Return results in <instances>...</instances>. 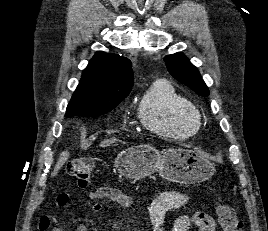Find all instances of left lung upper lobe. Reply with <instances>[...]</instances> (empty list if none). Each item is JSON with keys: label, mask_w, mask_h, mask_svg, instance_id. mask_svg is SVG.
I'll return each mask as SVG.
<instances>
[{"label": "left lung upper lobe", "mask_w": 268, "mask_h": 231, "mask_svg": "<svg viewBox=\"0 0 268 231\" xmlns=\"http://www.w3.org/2000/svg\"><path fill=\"white\" fill-rule=\"evenodd\" d=\"M169 73L179 82L193 89L202 96H208L209 91L200 76L198 69L192 65L183 53L167 55L164 58Z\"/></svg>", "instance_id": "left-lung-upper-lobe-1"}]
</instances>
